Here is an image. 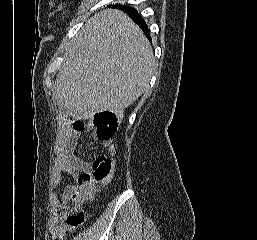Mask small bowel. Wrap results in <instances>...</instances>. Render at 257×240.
<instances>
[{"label":"small bowel","mask_w":257,"mask_h":240,"mask_svg":"<svg viewBox=\"0 0 257 240\" xmlns=\"http://www.w3.org/2000/svg\"><path fill=\"white\" fill-rule=\"evenodd\" d=\"M80 134L71 132L67 127L60 129L55 146V163L53 167L52 180L54 187H58L64 175H70L78 179L80 174L86 173L91 169V162L85 161L74 154L75 146L78 143ZM103 147L114 155L115 145L113 141H103ZM74 186L65 187L63 196L67 195ZM71 228L65 223L60 213V203L55 199L50 207L49 233L53 240H62Z\"/></svg>","instance_id":"c3829d8e"}]
</instances>
